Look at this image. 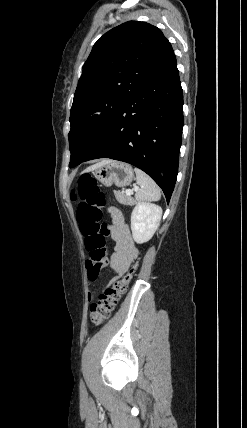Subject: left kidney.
Wrapping results in <instances>:
<instances>
[{"instance_id":"obj_1","label":"left kidney","mask_w":247,"mask_h":428,"mask_svg":"<svg viewBox=\"0 0 247 428\" xmlns=\"http://www.w3.org/2000/svg\"><path fill=\"white\" fill-rule=\"evenodd\" d=\"M162 208L156 204L139 202L131 214V231L136 243L149 241L159 227Z\"/></svg>"}]
</instances>
